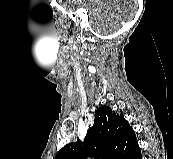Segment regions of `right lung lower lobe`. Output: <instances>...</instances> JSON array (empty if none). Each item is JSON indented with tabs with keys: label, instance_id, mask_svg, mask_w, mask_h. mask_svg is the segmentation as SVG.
Segmentation results:
<instances>
[{
	"label": "right lung lower lobe",
	"instance_id": "1",
	"mask_svg": "<svg viewBox=\"0 0 173 159\" xmlns=\"http://www.w3.org/2000/svg\"><path fill=\"white\" fill-rule=\"evenodd\" d=\"M127 159H142L141 150L140 149L137 150L136 152L131 154L129 157H127Z\"/></svg>",
	"mask_w": 173,
	"mask_h": 159
}]
</instances>
